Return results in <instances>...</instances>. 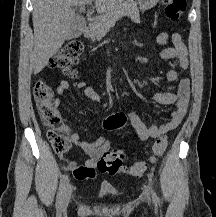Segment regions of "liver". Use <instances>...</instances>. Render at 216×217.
I'll list each match as a JSON object with an SVG mask.
<instances>
[{
	"mask_svg": "<svg viewBox=\"0 0 216 217\" xmlns=\"http://www.w3.org/2000/svg\"><path fill=\"white\" fill-rule=\"evenodd\" d=\"M98 13L113 10L123 0H93ZM85 0H33V70L38 74L62 47L74 22V6H82Z\"/></svg>",
	"mask_w": 216,
	"mask_h": 217,
	"instance_id": "6515ba94",
	"label": "liver"
}]
</instances>
